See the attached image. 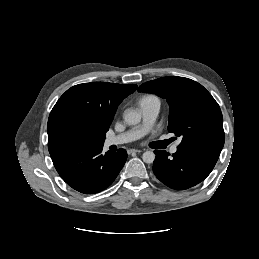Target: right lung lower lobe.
Here are the masks:
<instances>
[{"label":"right lung lower lobe","mask_w":259,"mask_h":259,"mask_svg":"<svg viewBox=\"0 0 259 259\" xmlns=\"http://www.w3.org/2000/svg\"><path fill=\"white\" fill-rule=\"evenodd\" d=\"M102 147L77 148L50 155L57 172L70 187L93 194L112 184L127 159L124 149L102 154Z\"/></svg>","instance_id":"98d812e1"}]
</instances>
